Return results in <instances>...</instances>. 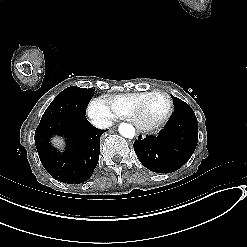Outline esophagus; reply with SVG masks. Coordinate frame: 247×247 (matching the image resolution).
Instances as JSON below:
<instances>
[{
  "instance_id": "esophagus-1",
  "label": "esophagus",
  "mask_w": 247,
  "mask_h": 247,
  "mask_svg": "<svg viewBox=\"0 0 247 247\" xmlns=\"http://www.w3.org/2000/svg\"><path fill=\"white\" fill-rule=\"evenodd\" d=\"M136 138H137L138 140H143V139L145 138V135L142 134V133H140V132H138Z\"/></svg>"
}]
</instances>
